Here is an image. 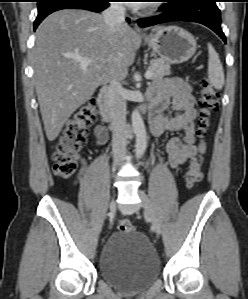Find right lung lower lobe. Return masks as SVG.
<instances>
[{
  "mask_svg": "<svg viewBox=\"0 0 248 299\" xmlns=\"http://www.w3.org/2000/svg\"><path fill=\"white\" fill-rule=\"evenodd\" d=\"M110 0H38V15L34 22V30L40 22L52 12L61 9H85L100 12L109 6ZM129 22L130 20L127 19Z\"/></svg>",
  "mask_w": 248,
  "mask_h": 299,
  "instance_id": "obj_1",
  "label": "right lung lower lobe"
}]
</instances>
